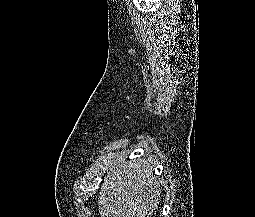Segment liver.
Masks as SVG:
<instances>
[{"label": "liver", "mask_w": 255, "mask_h": 217, "mask_svg": "<svg viewBox=\"0 0 255 217\" xmlns=\"http://www.w3.org/2000/svg\"><path fill=\"white\" fill-rule=\"evenodd\" d=\"M159 198L158 181L149 163L119 158L100 188L99 214L101 217H150Z\"/></svg>", "instance_id": "liver-1"}]
</instances>
